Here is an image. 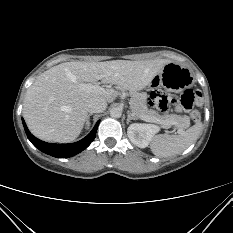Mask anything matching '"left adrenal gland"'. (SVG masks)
Here are the masks:
<instances>
[{
	"label": "left adrenal gland",
	"mask_w": 233,
	"mask_h": 233,
	"mask_svg": "<svg viewBox=\"0 0 233 233\" xmlns=\"http://www.w3.org/2000/svg\"><path fill=\"white\" fill-rule=\"evenodd\" d=\"M127 115V124H129L131 120H136V118L129 111L127 112Z\"/></svg>",
	"instance_id": "obj_1"
}]
</instances>
